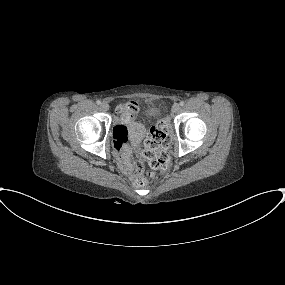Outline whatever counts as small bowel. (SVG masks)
<instances>
[{
  "instance_id": "1",
  "label": "small bowel",
  "mask_w": 285,
  "mask_h": 285,
  "mask_svg": "<svg viewBox=\"0 0 285 285\" xmlns=\"http://www.w3.org/2000/svg\"><path fill=\"white\" fill-rule=\"evenodd\" d=\"M128 116L121 119V122L113 129V143L115 147V153L120 159L121 166L124 174L133 179L136 175V171L132 169V164L129 161V155L131 153V144H120L119 137L126 134L125 123L128 120Z\"/></svg>"
}]
</instances>
